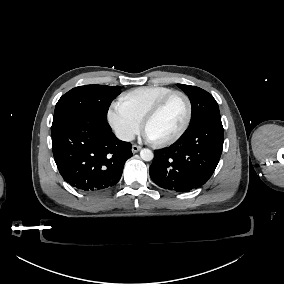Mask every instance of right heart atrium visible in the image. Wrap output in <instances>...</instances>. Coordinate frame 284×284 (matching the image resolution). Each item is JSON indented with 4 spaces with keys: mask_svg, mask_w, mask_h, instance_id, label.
<instances>
[{
    "mask_svg": "<svg viewBox=\"0 0 284 284\" xmlns=\"http://www.w3.org/2000/svg\"><path fill=\"white\" fill-rule=\"evenodd\" d=\"M107 122L115 137L122 142L131 141L141 127V121L117 103L108 107Z\"/></svg>",
    "mask_w": 284,
    "mask_h": 284,
    "instance_id": "d8ad5b80",
    "label": "right heart atrium"
}]
</instances>
